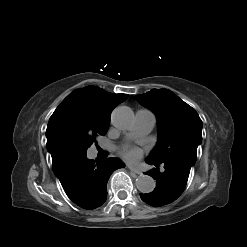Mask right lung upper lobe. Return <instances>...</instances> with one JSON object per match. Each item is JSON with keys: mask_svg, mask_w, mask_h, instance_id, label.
I'll return each mask as SVG.
<instances>
[{"mask_svg": "<svg viewBox=\"0 0 247 247\" xmlns=\"http://www.w3.org/2000/svg\"><path fill=\"white\" fill-rule=\"evenodd\" d=\"M128 97L127 94H113L94 86H87L69 94L48 122L46 146L52 161L66 155L60 144V132L66 124L109 127L113 108Z\"/></svg>", "mask_w": 247, "mask_h": 247, "instance_id": "right-lung-upper-lobe-1", "label": "right lung upper lobe"}]
</instances>
